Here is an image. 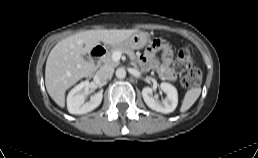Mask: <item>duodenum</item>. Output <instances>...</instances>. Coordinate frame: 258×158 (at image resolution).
Wrapping results in <instances>:
<instances>
[{
    "instance_id": "duodenum-1",
    "label": "duodenum",
    "mask_w": 258,
    "mask_h": 158,
    "mask_svg": "<svg viewBox=\"0 0 258 158\" xmlns=\"http://www.w3.org/2000/svg\"><path fill=\"white\" fill-rule=\"evenodd\" d=\"M106 53V48L103 45L94 47L90 52V62L94 65L98 64Z\"/></svg>"
}]
</instances>
